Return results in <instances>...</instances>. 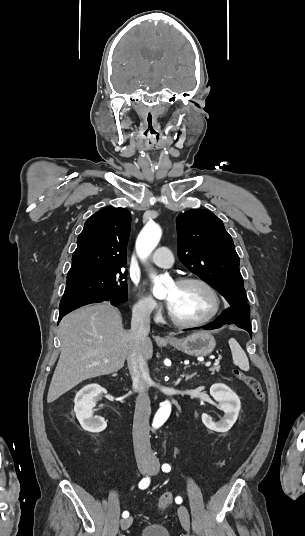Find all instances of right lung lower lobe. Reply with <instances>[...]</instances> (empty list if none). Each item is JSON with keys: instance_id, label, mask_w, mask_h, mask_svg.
I'll return each instance as SVG.
<instances>
[{"instance_id": "obj_1", "label": "right lung lower lobe", "mask_w": 305, "mask_h": 536, "mask_svg": "<svg viewBox=\"0 0 305 536\" xmlns=\"http://www.w3.org/2000/svg\"><path fill=\"white\" fill-rule=\"evenodd\" d=\"M103 301H109L112 305L117 306L119 304H123L125 302L117 301V300H108V299H101V298H93V297H71V298H64L60 302L59 306V321L69 312L90 303H98Z\"/></svg>"}]
</instances>
